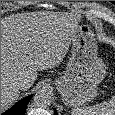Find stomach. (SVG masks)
<instances>
[{
  "instance_id": "stomach-1",
  "label": "stomach",
  "mask_w": 115,
  "mask_h": 115,
  "mask_svg": "<svg viewBox=\"0 0 115 115\" xmlns=\"http://www.w3.org/2000/svg\"><path fill=\"white\" fill-rule=\"evenodd\" d=\"M105 75L106 67L98 57L97 43L90 26L77 25L65 74L55 81L64 104L78 108L93 100Z\"/></svg>"
}]
</instances>
